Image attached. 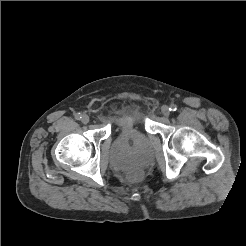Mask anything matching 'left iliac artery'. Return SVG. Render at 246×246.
<instances>
[{
    "label": "left iliac artery",
    "instance_id": "44dca946",
    "mask_svg": "<svg viewBox=\"0 0 246 246\" xmlns=\"http://www.w3.org/2000/svg\"><path fill=\"white\" fill-rule=\"evenodd\" d=\"M169 109H170V111L174 112L177 110V106L175 104H171Z\"/></svg>",
    "mask_w": 246,
    "mask_h": 246
}]
</instances>
